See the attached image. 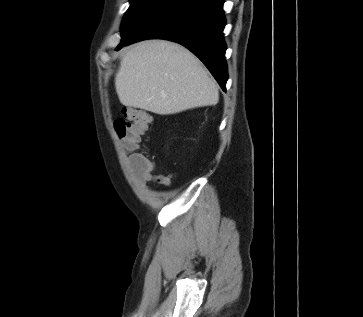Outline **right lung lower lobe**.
I'll list each match as a JSON object with an SVG mask.
<instances>
[{"label": "right lung lower lobe", "instance_id": "obj_1", "mask_svg": "<svg viewBox=\"0 0 363 317\" xmlns=\"http://www.w3.org/2000/svg\"><path fill=\"white\" fill-rule=\"evenodd\" d=\"M224 0H181L146 23L125 45L144 39H167L192 51L225 91L227 65L223 38Z\"/></svg>", "mask_w": 363, "mask_h": 317}]
</instances>
